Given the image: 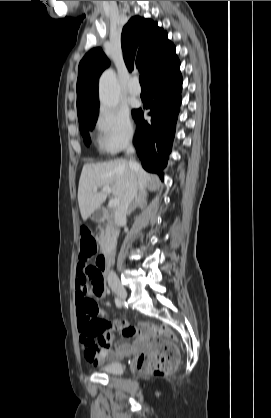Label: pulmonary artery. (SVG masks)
<instances>
[{
    "label": "pulmonary artery",
    "mask_w": 271,
    "mask_h": 418,
    "mask_svg": "<svg viewBox=\"0 0 271 418\" xmlns=\"http://www.w3.org/2000/svg\"><path fill=\"white\" fill-rule=\"evenodd\" d=\"M128 92L131 96L137 97L141 93V89L138 86L137 80L133 79L129 85Z\"/></svg>",
    "instance_id": "e3ab8cb5"
}]
</instances>
